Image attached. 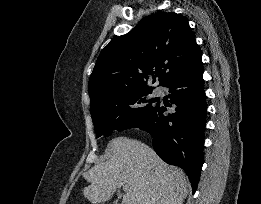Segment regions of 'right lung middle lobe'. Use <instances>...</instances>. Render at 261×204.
Segmentation results:
<instances>
[{"instance_id": "1", "label": "right lung middle lobe", "mask_w": 261, "mask_h": 204, "mask_svg": "<svg viewBox=\"0 0 261 204\" xmlns=\"http://www.w3.org/2000/svg\"><path fill=\"white\" fill-rule=\"evenodd\" d=\"M152 90H134L117 95L114 99L90 107L96 137L109 136L113 130L130 129L143 121L154 109L148 99Z\"/></svg>"}]
</instances>
